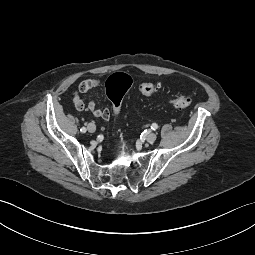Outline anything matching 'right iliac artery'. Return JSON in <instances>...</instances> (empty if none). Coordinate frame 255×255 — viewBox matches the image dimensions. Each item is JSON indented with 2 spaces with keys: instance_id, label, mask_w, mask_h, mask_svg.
<instances>
[{
  "instance_id": "82829eb1",
  "label": "right iliac artery",
  "mask_w": 255,
  "mask_h": 255,
  "mask_svg": "<svg viewBox=\"0 0 255 255\" xmlns=\"http://www.w3.org/2000/svg\"><path fill=\"white\" fill-rule=\"evenodd\" d=\"M86 128L85 127H82L81 129H80V131L82 132V133H85L86 132Z\"/></svg>"
}]
</instances>
